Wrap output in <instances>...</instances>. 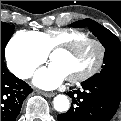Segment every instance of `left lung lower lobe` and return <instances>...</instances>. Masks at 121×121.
<instances>
[{"label":"left lung lower lobe","instance_id":"0a47b994","mask_svg":"<svg viewBox=\"0 0 121 121\" xmlns=\"http://www.w3.org/2000/svg\"><path fill=\"white\" fill-rule=\"evenodd\" d=\"M82 90L67 94L73 105L58 121H109L121 100V83L108 78H91L81 83Z\"/></svg>","mask_w":121,"mask_h":121}]
</instances>
